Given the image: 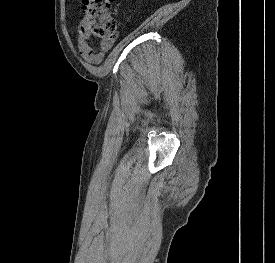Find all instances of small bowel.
Instances as JSON below:
<instances>
[{
    "label": "small bowel",
    "instance_id": "c3829d8e",
    "mask_svg": "<svg viewBox=\"0 0 275 263\" xmlns=\"http://www.w3.org/2000/svg\"><path fill=\"white\" fill-rule=\"evenodd\" d=\"M113 42H102L96 48L90 41L89 35L83 30L81 26L78 34V48L80 55L92 64L100 63L104 58V53L112 47Z\"/></svg>",
    "mask_w": 275,
    "mask_h": 263
}]
</instances>
